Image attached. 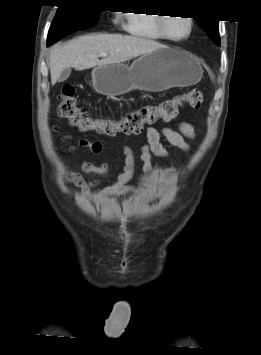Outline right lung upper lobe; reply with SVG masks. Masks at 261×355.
<instances>
[{"label":"right lung upper lobe","instance_id":"cb5924a9","mask_svg":"<svg viewBox=\"0 0 261 355\" xmlns=\"http://www.w3.org/2000/svg\"><path fill=\"white\" fill-rule=\"evenodd\" d=\"M61 1L65 3V2L78 1V0H61Z\"/></svg>","mask_w":261,"mask_h":355}]
</instances>
